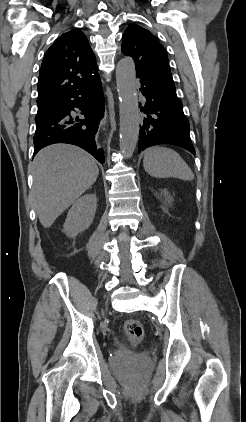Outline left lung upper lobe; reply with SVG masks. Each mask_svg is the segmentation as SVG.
<instances>
[{
	"label": "left lung upper lobe",
	"mask_w": 246,
	"mask_h": 422,
	"mask_svg": "<svg viewBox=\"0 0 246 422\" xmlns=\"http://www.w3.org/2000/svg\"><path fill=\"white\" fill-rule=\"evenodd\" d=\"M122 53L133 58L137 76L144 77L177 97L166 50L159 40L143 27L132 24L123 34Z\"/></svg>",
	"instance_id": "obj_1"
}]
</instances>
